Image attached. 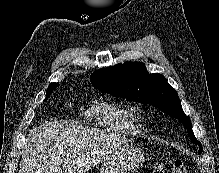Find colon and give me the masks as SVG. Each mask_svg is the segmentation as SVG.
Instances as JSON below:
<instances>
[{
	"instance_id": "colon-1",
	"label": "colon",
	"mask_w": 219,
	"mask_h": 173,
	"mask_svg": "<svg viewBox=\"0 0 219 173\" xmlns=\"http://www.w3.org/2000/svg\"><path fill=\"white\" fill-rule=\"evenodd\" d=\"M187 168L182 159L173 158L162 161L156 173H186Z\"/></svg>"
}]
</instances>
